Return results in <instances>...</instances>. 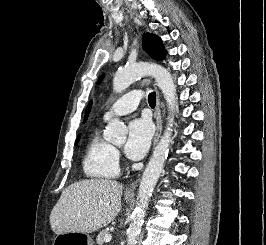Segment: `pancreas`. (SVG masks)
Segmentation results:
<instances>
[{
  "instance_id": "pancreas-1",
  "label": "pancreas",
  "mask_w": 266,
  "mask_h": 245,
  "mask_svg": "<svg viewBox=\"0 0 266 245\" xmlns=\"http://www.w3.org/2000/svg\"><path fill=\"white\" fill-rule=\"evenodd\" d=\"M111 231H109V229H105V231H100L98 237H96V243L97 245H104L105 241V237L106 235H110Z\"/></svg>"
}]
</instances>
